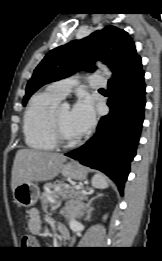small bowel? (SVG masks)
<instances>
[{
	"mask_svg": "<svg viewBox=\"0 0 162 261\" xmlns=\"http://www.w3.org/2000/svg\"><path fill=\"white\" fill-rule=\"evenodd\" d=\"M29 227L33 233H39L41 231L42 222L37 209H31L29 212Z\"/></svg>",
	"mask_w": 162,
	"mask_h": 261,
	"instance_id": "small-bowel-1",
	"label": "small bowel"
}]
</instances>
